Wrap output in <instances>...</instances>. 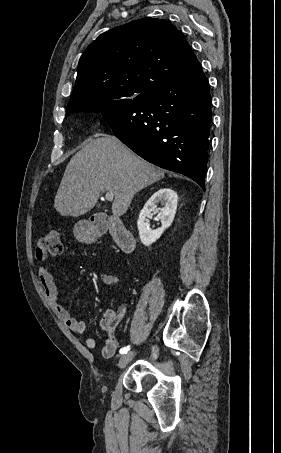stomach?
<instances>
[{
	"label": "stomach",
	"mask_w": 281,
	"mask_h": 453,
	"mask_svg": "<svg viewBox=\"0 0 281 453\" xmlns=\"http://www.w3.org/2000/svg\"><path fill=\"white\" fill-rule=\"evenodd\" d=\"M74 237L81 241V243H85V241H93L95 237L94 229L92 227H88V224H81V222H77L74 227Z\"/></svg>",
	"instance_id": "stomach-1"
}]
</instances>
